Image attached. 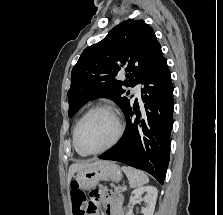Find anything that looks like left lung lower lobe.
<instances>
[{
  "label": "left lung lower lobe",
  "instance_id": "left-lung-lower-lobe-1",
  "mask_svg": "<svg viewBox=\"0 0 223 215\" xmlns=\"http://www.w3.org/2000/svg\"><path fill=\"white\" fill-rule=\"evenodd\" d=\"M145 109L139 111L137 99L124 113L126 130L118 143L100 159L114 160L144 170L163 184L170 157L173 126V85L166 59L141 82ZM133 114L136 118L132 120Z\"/></svg>",
  "mask_w": 223,
  "mask_h": 215
}]
</instances>
